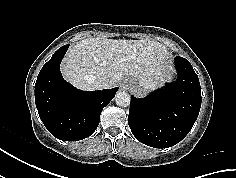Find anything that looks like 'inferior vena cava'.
I'll return each instance as SVG.
<instances>
[{"label": "inferior vena cava", "instance_id": "obj_1", "mask_svg": "<svg viewBox=\"0 0 236 178\" xmlns=\"http://www.w3.org/2000/svg\"><path fill=\"white\" fill-rule=\"evenodd\" d=\"M96 89H103L108 87V80L104 77L92 80Z\"/></svg>", "mask_w": 236, "mask_h": 178}]
</instances>
